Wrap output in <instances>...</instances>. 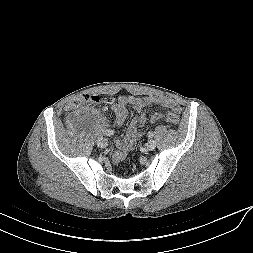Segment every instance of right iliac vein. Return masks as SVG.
Returning <instances> with one entry per match:
<instances>
[{
  "mask_svg": "<svg viewBox=\"0 0 253 253\" xmlns=\"http://www.w3.org/2000/svg\"><path fill=\"white\" fill-rule=\"evenodd\" d=\"M97 145L101 148H105L107 146V140L104 138H99L97 140Z\"/></svg>",
  "mask_w": 253,
  "mask_h": 253,
  "instance_id": "1",
  "label": "right iliac vein"
}]
</instances>
